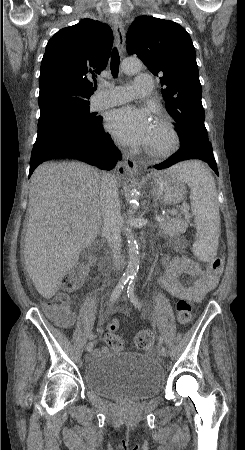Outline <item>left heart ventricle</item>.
Wrapping results in <instances>:
<instances>
[{
  "label": "left heart ventricle",
  "mask_w": 245,
  "mask_h": 450,
  "mask_svg": "<svg viewBox=\"0 0 245 450\" xmlns=\"http://www.w3.org/2000/svg\"><path fill=\"white\" fill-rule=\"evenodd\" d=\"M161 140H163V137L159 133V130H158L157 126L155 125L154 132H153V137H152V140H151L150 144L155 143V142H159Z\"/></svg>",
  "instance_id": "1"
}]
</instances>
